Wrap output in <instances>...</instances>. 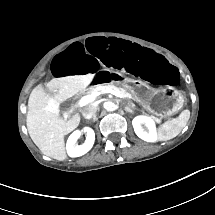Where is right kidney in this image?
<instances>
[{"mask_svg": "<svg viewBox=\"0 0 215 215\" xmlns=\"http://www.w3.org/2000/svg\"><path fill=\"white\" fill-rule=\"evenodd\" d=\"M84 131H86L87 136L85 143L82 145H76V141L81 136V131L76 130L69 136L66 144L67 154L69 157H80L86 154L93 147L95 141V133L93 129L86 127Z\"/></svg>", "mask_w": 215, "mask_h": 215, "instance_id": "obj_1", "label": "right kidney"}]
</instances>
